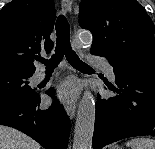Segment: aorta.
Returning <instances> with one entry per match:
<instances>
[{
  "mask_svg": "<svg viewBox=\"0 0 155 149\" xmlns=\"http://www.w3.org/2000/svg\"><path fill=\"white\" fill-rule=\"evenodd\" d=\"M76 44L90 46L92 35L82 31L75 39ZM95 125V100L91 92L85 90L79 102L75 124L73 149H92Z\"/></svg>",
  "mask_w": 155,
  "mask_h": 149,
  "instance_id": "1",
  "label": "aorta"
}]
</instances>
